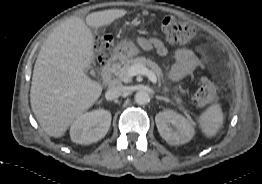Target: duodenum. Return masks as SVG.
Here are the masks:
<instances>
[{
    "label": "duodenum",
    "mask_w": 262,
    "mask_h": 184,
    "mask_svg": "<svg viewBox=\"0 0 262 184\" xmlns=\"http://www.w3.org/2000/svg\"><path fill=\"white\" fill-rule=\"evenodd\" d=\"M122 59L119 56H114L111 60L103 66L102 69V82L104 86L109 87L112 85V74L121 64Z\"/></svg>",
    "instance_id": "410a0bca"
}]
</instances>
